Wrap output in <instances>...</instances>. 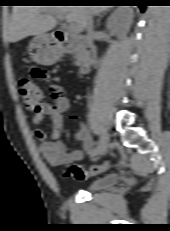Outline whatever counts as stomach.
<instances>
[{
  "label": "stomach",
  "instance_id": "stomach-1",
  "mask_svg": "<svg viewBox=\"0 0 170 231\" xmlns=\"http://www.w3.org/2000/svg\"><path fill=\"white\" fill-rule=\"evenodd\" d=\"M51 43L47 35L34 37L28 46L29 55L33 61L42 65L54 64L59 59V51Z\"/></svg>",
  "mask_w": 170,
  "mask_h": 231
}]
</instances>
